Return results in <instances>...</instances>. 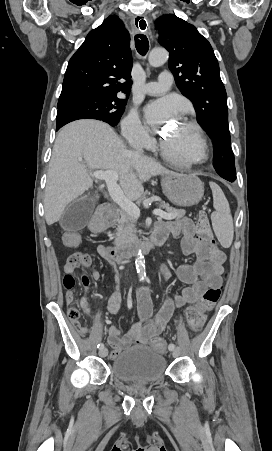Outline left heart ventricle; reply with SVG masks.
Instances as JSON below:
<instances>
[{"label":"left heart ventricle","instance_id":"obj_1","mask_svg":"<svg viewBox=\"0 0 272 451\" xmlns=\"http://www.w3.org/2000/svg\"><path fill=\"white\" fill-rule=\"evenodd\" d=\"M168 141L182 156H191L195 153L192 131L182 123L176 125Z\"/></svg>","mask_w":272,"mask_h":451}]
</instances>
